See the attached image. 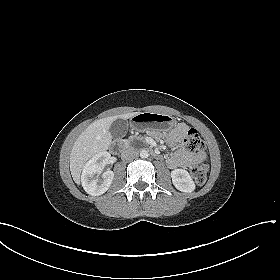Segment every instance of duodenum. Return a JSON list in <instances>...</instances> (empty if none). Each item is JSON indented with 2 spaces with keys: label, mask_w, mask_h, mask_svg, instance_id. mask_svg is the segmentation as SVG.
Listing matches in <instances>:
<instances>
[{
  "label": "duodenum",
  "mask_w": 280,
  "mask_h": 280,
  "mask_svg": "<svg viewBox=\"0 0 280 280\" xmlns=\"http://www.w3.org/2000/svg\"><path fill=\"white\" fill-rule=\"evenodd\" d=\"M125 149H126V145L124 142L115 143L113 146L114 151H116V150L123 151ZM152 155L155 159H161V155L159 153L153 152Z\"/></svg>",
  "instance_id": "1"
}]
</instances>
